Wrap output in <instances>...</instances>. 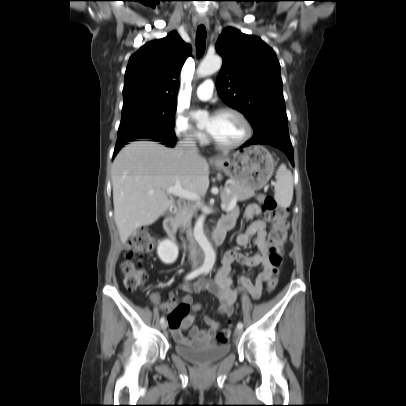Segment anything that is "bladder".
I'll return each mask as SVG.
<instances>
[{"mask_svg":"<svg viewBox=\"0 0 406 406\" xmlns=\"http://www.w3.org/2000/svg\"><path fill=\"white\" fill-rule=\"evenodd\" d=\"M178 356L197 364H208L218 361L230 352V345L217 344L208 346H196L177 342L174 345Z\"/></svg>","mask_w":406,"mask_h":406,"instance_id":"1","label":"bladder"}]
</instances>
